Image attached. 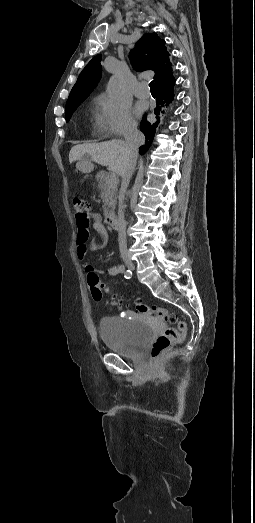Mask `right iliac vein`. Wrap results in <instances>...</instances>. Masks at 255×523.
Listing matches in <instances>:
<instances>
[{
    "mask_svg": "<svg viewBox=\"0 0 255 523\" xmlns=\"http://www.w3.org/2000/svg\"><path fill=\"white\" fill-rule=\"evenodd\" d=\"M124 262H125L126 266H127L129 269H131V270H134V269H135V265H134V263H133L130 259L125 258V259H124Z\"/></svg>",
    "mask_w": 255,
    "mask_h": 523,
    "instance_id": "63e3f726",
    "label": "right iliac vein"
}]
</instances>
